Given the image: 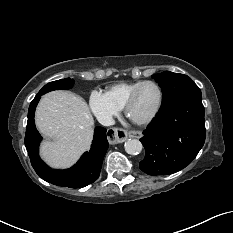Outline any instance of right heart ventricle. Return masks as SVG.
I'll use <instances>...</instances> for the list:
<instances>
[{"instance_id": "obj_1", "label": "right heart ventricle", "mask_w": 233, "mask_h": 233, "mask_svg": "<svg viewBox=\"0 0 233 233\" xmlns=\"http://www.w3.org/2000/svg\"><path fill=\"white\" fill-rule=\"evenodd\" d=\"M142 82L143 81H130L113 84L107 88L106 95L113 103L122 109L132 91Z\"/></svg>"}]
</instances>
